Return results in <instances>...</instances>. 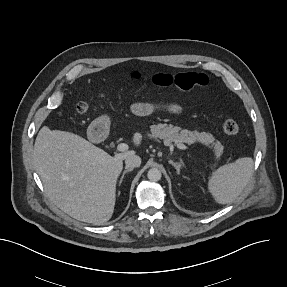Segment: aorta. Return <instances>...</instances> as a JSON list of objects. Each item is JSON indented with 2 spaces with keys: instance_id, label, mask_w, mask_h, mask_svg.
Listing matches in <instances>:
<instances>
[{
  "instance_id": "1",
  "label": "aorta",
  "mask_w": 287,
  "mask_h": 287,
  "mask_svg": "<svg viewBox=\"0 0 287 287\" xmlns=\"http://www.w3.org/2000/svg\"><path fill=\"white\" fill-rule=\"evenodd\" d=\"M161 176V171L158 168H151L147 173L148 179L153 182L159 181Z\"/></svg>"
}]
</instances>
